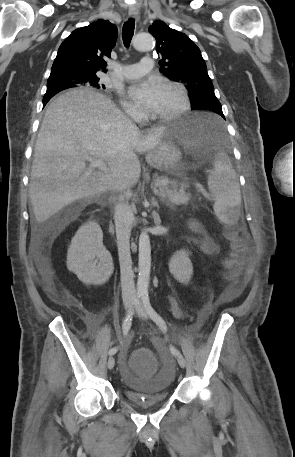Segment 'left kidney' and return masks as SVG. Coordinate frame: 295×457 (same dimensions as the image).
Listing matches in <instances>:
<instances>
[{
	"label": "left kidney",
	"mask_w": 295,
	"mask_h": 457,
	"mask_svg": "<svg viewBox=\"0 0 295 457\" xmlns=\"http://www.w3.org/2000/svg\"><path fill=\"white\" fill-rule=\"evenodd\" d=\"M169 271L182 284H187L193 274L189 252L180 250L174 253L169 261Z\"/></svg>",
	"instance_id": "obj_1"
}]
</instances>
